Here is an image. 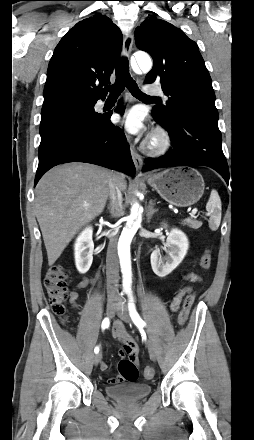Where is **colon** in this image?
<instances>
[{
  "label": "colon",
  "mask_w": 254,
  "mask_h": 440,
  "mask_svg": "<svg viewBox=\"0 0 254 440\" xmlns=\"http://www.w3.org/2000/svg\"><path fill=\"white\" fill-rule=\"evenodd\" d=\"M212 264V253L205 250L200 261L202 269L207 270ZM69 275L62 265H54L48 269L44 277V287L49 298L52 310L55 314L63 316L65 313V303L69 297L67 281ZM194 301V294L189 293L185 296L181 311L178 315V323L184 326L187 322L191 305ZM118 370L123 381L135 382L138 379L139 371L136 363L132 359H122L119 361ZM144 376L151 379L154 376V369L146 367Z\"/></svg>",
  "instance_id": "1"
}]
</instances>
